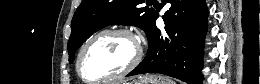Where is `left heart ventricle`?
<instances>
[{
	"label": "left heart ventricle",
	"instance_id": "b2bd125f",
	"mask_svg": "<svg viewBox=\"0 0 260 84\" xmlns=\"http://www.w3.org/2000/svg\"><path fill=\"white\" fill-rule=\"evenodd\" d=\"M135 50L133 42L123 35L100 36L86 50L81 72L91 81L116 74L131 62Z\"/></svg>",
	"mask_w": 260,
	"mask_h": 84
}]
</instances>
